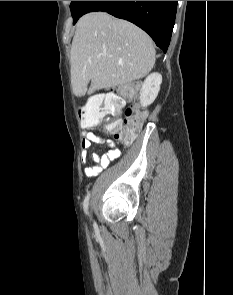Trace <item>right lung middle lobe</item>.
<instances>
[{"mask_svg":"<svg viewBox=\"0 0 233 295\" xmlns=\"http://www.w3.org/2000/svg\"><path fill=\"white\" fill-rule=\"evenodd\" d=\"M87 1H71L70 8L73 17V24L82 16L84 6Z\"/></svg>","mask_w":233,"mask_h":295,"instance_id":"dd1d6c3e","label":"right lung middle lobe"}]
</instances>
